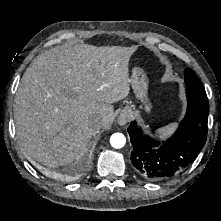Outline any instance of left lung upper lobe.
Masks as SVG:
<instances>
[{"label":"left lung upper lobe","mask_w":221,"mask_h":221,"mask_svg":"<svg viewBox=\"0 0 221 221\" xmlns=\"http://www.w3.org/2000/svg\"><path fill=\"white\" fill-rule=\"evenodd\" d=\"M185 83L187 88H190L195 91L205 92V89L196 76V74L189 68L185 69Z\"/></svg>","instance_id":"5c2ea615"}]
</instances>
